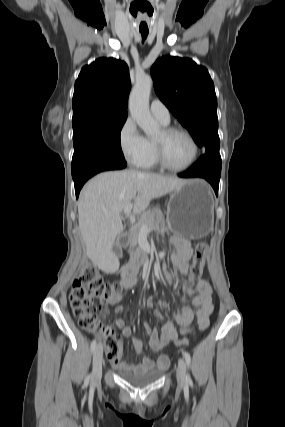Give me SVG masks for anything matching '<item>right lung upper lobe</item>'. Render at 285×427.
<instances>
[{
  "label": "right lung upper lobe",
  "instance_id": "obj_1",
  "mask_svg": "<svg viewBox=\"0 0 285 427\" xmlns=\"http://www.w3.org/2000/svg\"><path fill=\"white\" fill-rule=\"evenodd\" d=\"M129 91L126 63L114 58H99L84 66L75 82L73 118L82 115L127 117Z\"/></svg>",
  "mask_w": 285,
  "mask_h": 427
}]
</instances>
